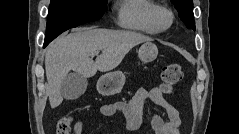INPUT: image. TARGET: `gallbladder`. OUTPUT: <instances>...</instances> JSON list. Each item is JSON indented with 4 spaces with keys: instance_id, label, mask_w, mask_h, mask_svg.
I'll use <instances>...</instances> for the list:
<instances>
[{
    "instance_id": "obj_1",
    "label": "gallbladder",
    "mask_w": 239,
    "mask_h": 134,
    "mask_svg": "<svg viewBox=\"0 0 239 134\" xmlns=\"http://www.w3.org/2000/svg\"><path fill=\"white\" fill-rule=\"evenodd\" d=\"M87 85V78L77 72L70 73L62 82L61 94L67 100L77 99L84 94Z\"/></svg>"
}]
</instances>
